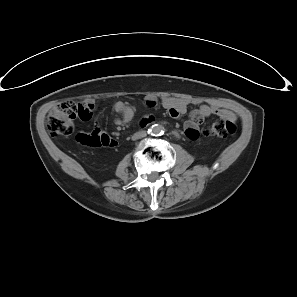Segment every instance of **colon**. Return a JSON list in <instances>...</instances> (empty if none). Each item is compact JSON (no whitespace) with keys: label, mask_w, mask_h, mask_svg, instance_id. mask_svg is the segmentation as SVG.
Instances as JSON below:
<instances>
[{"label":"colon","mask_w":297,"mask_h":297,"mask_svg":"<svg viewBox=\"0 0 297 297\" xmlns=\"http://www.w3.org/2000/svg\"><path fill=\"white\" fill-rule=\"evenodd\" d=\"M94 106L87 102L67 101L58 104L48 115L46 127L53 135H70L74 130V121L80 119L89 121L92 118ZM236 125L233 119L224 115L216 120L207 130L206 134L215 138H227L234 134ZM77 141L92 147H113L116 142L106 133L95 129L90 133H80Z\"/></svg>","instance_id":"1"}]
</instances>
